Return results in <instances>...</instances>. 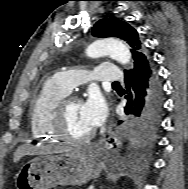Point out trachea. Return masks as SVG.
I'll return each instance as SVG.
<instances>
[{
	"label": "trachea",
	"instance_id": "3493384b",
	"mask_svg": "<svg viewBox=\"0 0 188 189\" xmlns=\"http://www.w3.org/2000/svg\"><path fill=\"white\" fill-rule=\"evenodd\" d=\"M119 83L118 82H114L113 85H118Z\"/></svg>",
	"mask_w": 188,
	"mask_h": 189
}]
</instances>
